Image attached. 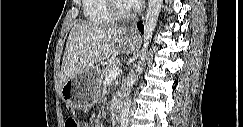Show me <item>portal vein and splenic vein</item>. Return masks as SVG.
<instances>
[{
	"label": "portal vein and splenic vein",
	"instance_id": "obj_1",
	"mask_svg": "<svg viewBox=\"0 0 243 127\" xmlns=\"http://www.w3.org/2000/svg\"><path fill=\"white\" fill-rule=\"evenodd\" d=\"M121 73H122V70L120 68L113 69L109 73L108 77L105 78L104 83L106 84V83H109V82L115 80Z\"/></svg>",
	"mask_w": 243,
	"mask_h": 127
}]
</instances>
